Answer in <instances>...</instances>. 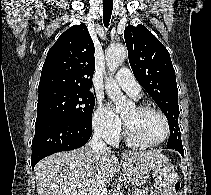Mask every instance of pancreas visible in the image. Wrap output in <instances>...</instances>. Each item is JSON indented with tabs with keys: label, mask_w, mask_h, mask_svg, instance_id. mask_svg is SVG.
<instances>
[{
	"label": "pancreas",
	"mask_w": 211,
	"mask_h": 195,
	"mask_svg": "<svg viewBox=\"0 0 211 195\" xmlns=\"http://www.w3.org/2000/svg\"><path fill=\"white\" fill-rule=\"evenodd\" d=\"M132 195H148V192H147V190H135L133 193H132Z\"/></svg>",
	"instance_id": "pancreas-1"
}]
</instances>
